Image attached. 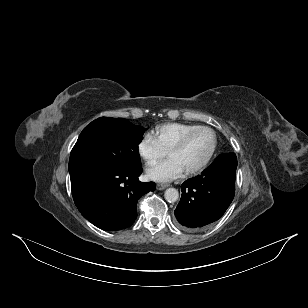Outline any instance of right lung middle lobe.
I'll list each match as a JSON object with an SVG mask.
<instances>
[{"label":"right lung middle lobe","instance_id":"dd1d6c3e","mask_svg":"<svg viewBox=\"0 0 308 308\" xmlns=\"http://www.w3.org/2000/svg\"><path fill=\"white\" fill-rule=\"evenodd\" d=\"M144 131L126 119L101 117L92 121L71 151L69 172L85 168L134 170L142 167L138 145Z\"/></svg>","mask_w":308,"mask_h":308}]
</instances>
